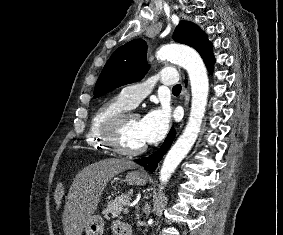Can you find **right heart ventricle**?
Returning <instances> with one entry per match:
<instances>
[{
	"mask_svg": "<svg viewBox=\"0 0 283 235\" xmlns=\"http://www.w3.org/2000/svg\"><path fill=\"white\" fill-rule=\"evenodd\" d=\"M131 106L122 98L121 95L112 97L103 103L93 113L86 133V144L93 150H107L108 147L102 138V129L112 116L130 109Z\"/></svg>",
	"mask_w": 283,
	"mask_h": 235,
	"instance_id": "e07e8e85",
	"label": "right heart ventricle"
}]
</instances>
